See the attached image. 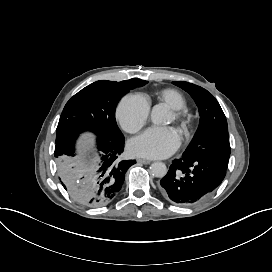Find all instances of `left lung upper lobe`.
Segmentation results:
<instances>
[{
  "mask_svg": "<svg viewBox=\"0 0 272 272\" xmlns=\"http://www.w3.org/2000/svg\"><path fill=\"white\" fill-rule=\"evenodd\" d=\"M173 83L191 95L200 114L199 128L182 158L211 157L228 162L230 144L227 120L217 100L200 86L184 81Z\"/></svg>",
  "mask_w": 272,
  "mask_h": 272,
  "instance_id": "5c2ea615",
  "label": "left lung upper lobe"
}]
</instances>
